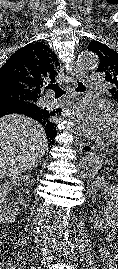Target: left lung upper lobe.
<instances>
[{"label":"left lung upper lobe","instance_id":"5c2ea615","mask_svg":"<svg viewBox=\"0 0 118 269\" xmlns=\"http://www.w3.org/2000/svg\"><path fill=\"white\" fill-rule=\"evenodd\" d=\"M87 48L98 55L100 62L97 72L104 73L106 81L113 84L110 92L113 98L118 101V53L95 40L91 41Z\"/></svg>","mask_w":118,"mask_h":269}]
</instances>
